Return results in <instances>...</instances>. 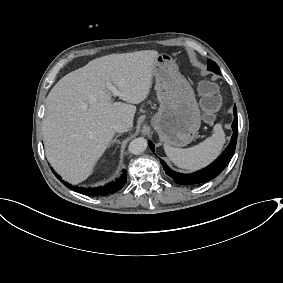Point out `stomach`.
I'll return each mask as SVG.
<instances>
[{"label":"stomach","instance_id":"0dacf381","mask_svg":"<svg viewBox=\"0 0 283 283\" xmlns=\"http://www.w3.org/2000/svg\"><path fill=\"white\" fill-rule=\"evenodd\" d=\"M152 74L160 107L151 124L166 145L185 146L193 140L201 123L194 90L168 54L157 56Z\"/></svg>","mask_w":283,"mask_h":283}]
</instances>
